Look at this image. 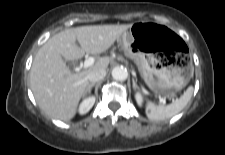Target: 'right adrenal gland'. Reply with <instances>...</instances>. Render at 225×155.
<instances>
[{
  "label": "right adrenal gland",
  "instance_id": "obj_1",
  "mask_svg": "<svg viewBox=\"0 0 225 155\" xmlns=\"http://www.w3.org/2000/svg\"><path fill=\"white\" fill-rule=\"evenodd\" d=\"M94 86H95V83L90 84V85L87 87L86 94H87V93L90 94V93H91V89H92V87H94Z\"/></svg>",
  "mask_w": 225,
  "mask_h": 155
}]
</instances>
